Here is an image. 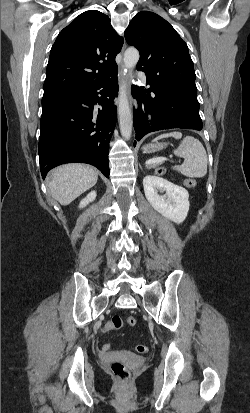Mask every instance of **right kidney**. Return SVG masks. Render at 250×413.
<instances>
[{"label": "right kidney", "mask_w": 250, "mask_h": 413, "mask_svg": "<svg viewBox=\"0 0 250 413\" xmlns=\"http://www.w3.org/2000/svg\"><path fill=\"white\" fill-rule=\"evenodd\" d=\"M96 198V192L95 191H91L86 198H84L83 200H81L80 204H79V208H84L85 206H87L90 202H93Z\"/></svg>", "instance_id": "right-kidney-1"}]
</instances>
